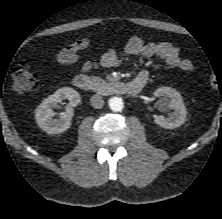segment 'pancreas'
I'll return each instance as SVG.
<instances>
[{
    "label": "pancreas",
    "instance_id": "1",
    "mask_svg": "<svg viewBox=\"0 0 222 219\" xmlns=\"http://www.w3.org/2000/svg\"><path fill=\"white\" fill-rule=\"evenodd\" d=\"M93 90H98L100 86L105 84V81L100 77H92Z\"/></svg>",
    "mask_w": 222,
    "mask_h": 219
}]
</instances>
